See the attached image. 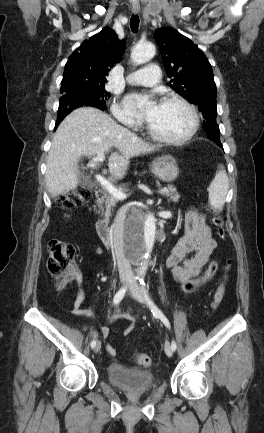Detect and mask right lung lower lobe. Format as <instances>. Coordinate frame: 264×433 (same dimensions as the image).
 <instances>
[{
	"label": "right lung lower lobe",
	"mask_w": 264,
	"mask_h": 433,
	"mask_svg": "<svg viewBox=\"0 0 264 433\" xmlns=\"http://www.w3.org/2000/svg\"><path fill=\"white\" fill-rule=\"evenodd\" d=\"M62 120H63V118H62V119H57V121H56V125H55V130H56V128L58 127V125L61 123Z\"/></svg>",
	"instance_id": "98d812e1"
}]
</instances>
